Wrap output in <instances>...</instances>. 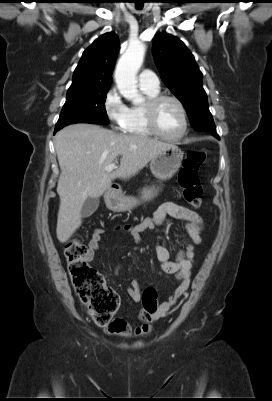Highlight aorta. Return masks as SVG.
<instances>
[{
  "mask_svg": "<svg viewBox=\"0 0 272 401\" xmlns=\"http://www.w3.org/2000/svg\"><path fill=\"white\" fill-rule=\"evenodd\" d=\"M146 47L140 42L131 43L119 59L115 70V82L120 94L133 104L144 102L137 89V72L141 67Z\"/></svg>",
  "mask_w": 272,
  "mask_h": 401,
  "instance_id": "762f6f07",
  "label": "aorta"
}]
</instances>
